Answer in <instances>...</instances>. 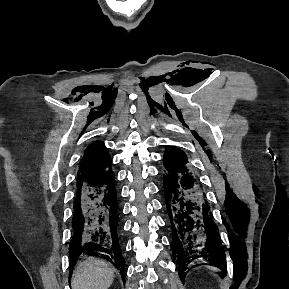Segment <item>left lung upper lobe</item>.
<instances>
[{
    "instance_id": "1",
    "label": "left lung upper lobe",
    "mask_w": 289,
    "mask_h": 289,
    "mask_svg": "<svg viewBox=\"0 0 289 289\" xmlns=\"http://www.w3.org/2000/svg\"><path fill=\"white\" fill-rule=\"evenodd\" d=\"M168 148H173V149H176V150H179L178 148H176V147H168ZM181 151V150H180Z\"/></svg>"
}]
</instances>
